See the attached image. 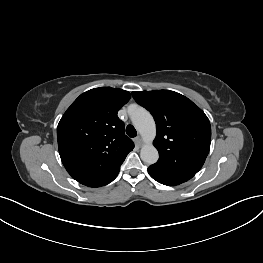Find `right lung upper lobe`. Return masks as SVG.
<instances>
[{
  "label": "right lung upper lobe",
  "mask_w": 263,
  "mask_h": 263,
  "mask_svg": "<svg viewBox=\"0 0 263 263\" xmlns=\"http://www.w3.org/2000/svg\"><path fill=\"white\" fill-rule=\"evenodd\" d=\"M130 97L122 89L94 88L81 94L61 118L57 127L60 157L79 183L109 175L133 150L117 116Z\"/></svg>",
  "instance_id": "right-lung-upper-lobe-1"
}]
</instances>
